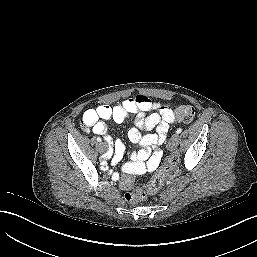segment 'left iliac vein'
I'll list each match as a JSON object with an SVG mask.
<instances>
[{
  "mask_svg": "<svg viewBox=\"0 0 257 257\" xmlns=\"http://www.w3.org/2000/svg\"><path fill=\"white\" fill-rule=\"evenodd\" d=\"M179 140H180V136L178 134H174L171 138V140L169 141V146L171 148H174L178 145L179 143Z\"/></svg>",
  "mask_w": 257,
  "mask_h": 257,
  "instance_id": "4c4485c4",
  "label": "left iliac vein"
}]
</instances>
